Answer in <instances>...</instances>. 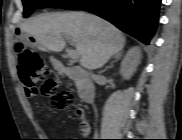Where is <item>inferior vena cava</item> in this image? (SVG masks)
<instances>
[{"instance_id":"1","label":"inferior vena cava","mask_w":182,"mask_h":140,"mask_svg":"<svg viewBox=\"0 0 182 140\" xmlns=\"http://www.w3.org/2000/svg\"><path fill=\"white\" fill-rule=\"evenodd\" d=\"M91 78H92V79H95V78H96V76H95V75H93V74H91Z\"/></svg>"}]
</instances>
